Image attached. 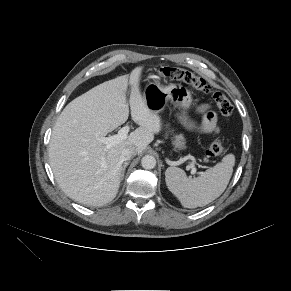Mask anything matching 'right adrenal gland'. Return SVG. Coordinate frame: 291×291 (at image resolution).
<instances>
[{"label": "right adrenal gland", "mask_w": 291, "mask_h": 291, "mask_svg": "<svg viewBox=\"0 0 291 291\" xmlns=\"http://www.w3.org/2000/svg\"><path fill=\"white\" fill-rule=\"evenodd\" d=\"M129 165V162H125L122 166V169H121V180H123L124 178V173H125V169L126 167Z\"/></svg>", "instance_id": "right-adrenal-gland-1"}]
</instances>
